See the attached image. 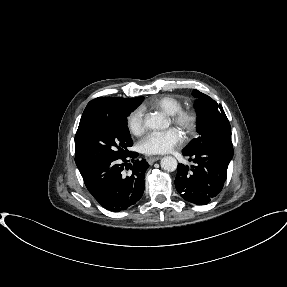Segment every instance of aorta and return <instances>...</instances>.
Instances as JSON below:
<instances>
[{"mask_svg": "<svg viewBox=\"0 0 287 287\" xmlns=\"http://www.w3.org/2000/svg\"><path fill=\"white\" fill-rule=\"evenodd\" d=\"M145 126L149 129L157 130L164 128V120L159 114H152L145 120ZM161 168L168 172H173L177 168V160L172 156H165L161 159Z\"/></svg>", "mask_w": 287, "mask_h": 287, "instance_id": "aorta-1", "label": "aorta"}]
</instances>
